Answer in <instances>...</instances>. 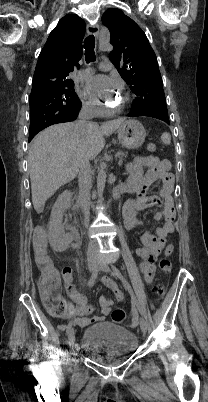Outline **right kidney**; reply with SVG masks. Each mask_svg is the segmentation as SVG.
<instances>
[{
	"mask_svg": "<svg viewBox=\"0 0 208 402\" xmlns=\"http://www.w3.org/2000/svg\"><path fill=\"white\" fill-rule=\"evenodd\" d=\"M71 192L65 190L60 196H58L51 212V218L49 222L48 240L49 244L54 252H65L69 244L72 242V236L65 234L63 216L64 212H67L71 208Z\"/></svg>",
	"mask_w": 208,
	"mask_h": 402,
	"instance_id": "ca27d5eb",
	"label": "right kidney"
}]
</instances>
